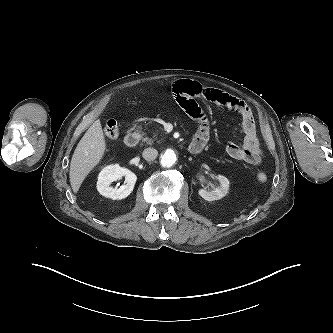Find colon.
Here are the masks:
<instances>
[{
  "instance_id": "colon-1",
  "label": "colon",
  "mask_w": 333,
  "mask_h": 333,
  "mask_svg": "<svg viewBox=\"0 0 333 333\" xmlns=\"http://www.w3.org/2000/svg\"><path fill=\"white\" fill-rule=\"evenodd\" d=\"M105 135L110 139H115L119 136V127L115 119H109L104 127ZM257 181L264 183L267 181V175L263 172H259L256 176Z\"/></svg>"
}]
</instances>
